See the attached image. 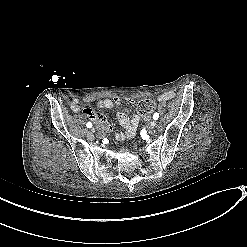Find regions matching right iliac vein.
Segmentation results:
<instances>
[{"label": "right iliac vein", "mask_w": 247, "mask_h": 247, "mask_svg": "<svg viewBox=\"0 0 247 247\" xmlns=\"http://www.w3.org/2000/svg\"><path fill=\"white\" fill-rule=\"evenodd\" d=\"M91 131H92L93 133H95V132H96V129L93 127V128L91 129Z\"/></svg>", "instance_id": "right-iliac-vein-1"}]
</instances>
